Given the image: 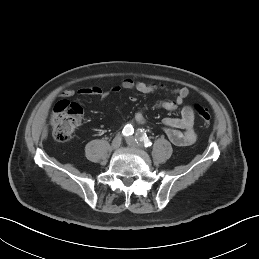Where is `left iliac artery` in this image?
<instances>
[{
    "label": "left iliac artery",
    "instance_id": "1",
    "mask_svg": "<svg viewBox=\"0 0 259 259\" xmlns=\"http://www.w3.org/2000/svg\"><path fill=\"white\" fill-rule=\"evenodd\" d=\"M136 141L137 143L145 147H149L152 145V142L149 140L144 130H141L140 132L136 133Z\"/></svg>",
    "mask_w": 259,
    "mask_h": 259
}]
</instances>
